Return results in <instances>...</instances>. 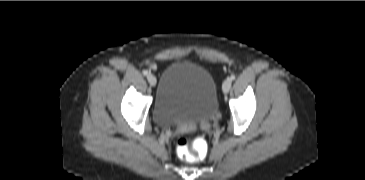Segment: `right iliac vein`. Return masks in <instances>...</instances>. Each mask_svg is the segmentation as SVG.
<instances>
[{"instance_id": "1", "label": "right iliac vein", "mask_w": 365, "mask_h": 180, "mask_svg": "<svg viewBox=\"0 0 365 180\" xmlns=\"http://www.w3.org/2000/svg\"><path fill=\"white\" fill-rule=\"evenodd\" d=\"M147 79H148V82H149V84H150L151 86H155V85H156V83H157V79H156V77H155L154 75L149 74V75L147 76Z\"/></svg>"}]
</instances>
